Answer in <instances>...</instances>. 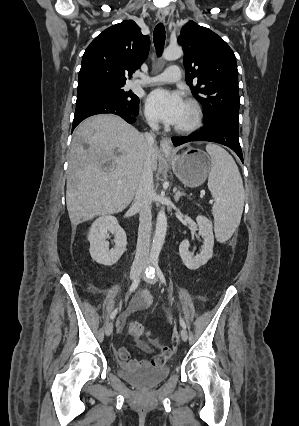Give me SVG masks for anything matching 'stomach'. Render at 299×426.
Returning <instances> with one entry per match:
<instances>
[{"mask_svg": "<svg viewBox=\"0 0 299 426\" xmlns=\"http://www.w3.org/2000/svg\"><path fill=\"white\" fill-rule=\"evenodd\" d=\"M177 178L187 187L202 185L211 171V158L203 151L188 148L181 155H166Z\"/></svg>", "mask_w": 299, "mask_h": 426, "instance_id": "0dacf381", "label": "stomach"}]
</instances>
